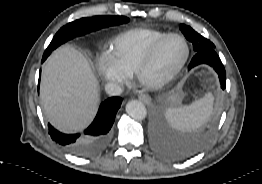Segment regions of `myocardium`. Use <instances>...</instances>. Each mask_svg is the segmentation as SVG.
Listing matches in <instances>:
<instances>
[{"label":"myocardium","instance_id":"f54148a6","mask_svg":"<svg viewBox=\"0 0 262 184\" xmlns=\"http://www.w3.org/2000/svg\"><path fill=\"white\" fill-rule=\"evenodd\" d=\"M171 38L180 39L185 45V55L182 61L169 73L165 74L160 78H150L148 77V71L152 67L159 51L164 46V44ZM190 56V47L187 40L179 34L170 33L162 37L158 42H156L151 49L147 52L141 62L138 64L134 71V77L136 81L145 88L148 89H159L167 84H169L175 77L181 72V70L186 65Z\"/></svg>","mask_w":262,"mask_h":184}]
</instances>
